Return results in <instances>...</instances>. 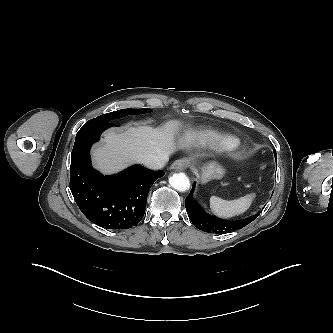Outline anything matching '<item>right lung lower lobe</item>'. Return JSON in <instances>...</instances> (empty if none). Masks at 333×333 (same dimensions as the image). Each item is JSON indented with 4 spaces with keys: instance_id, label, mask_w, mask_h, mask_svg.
<instances>
[{
    "instance_id": "98d812e1",
    "label": "right lung lower lobe",
    "mask_w": 333,
    "mask_h": 333,
    "mask_svg": "<svg viewBox=\"0 0 333 333\" xmlns=\"http://www.w3.org/2000/svg\"><path fill=\"white\" fill-rule=\"evenodd\" d=\"M115 124L89 120L78 131L71 154L70 189L83 214L106 229H128L144 216L148 191L163 170L134 165L117 175L103 176L91 166L90 148Z\"/></svg>"
}]
</instances>
